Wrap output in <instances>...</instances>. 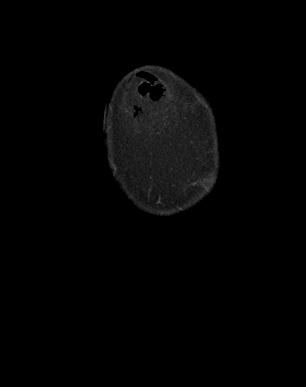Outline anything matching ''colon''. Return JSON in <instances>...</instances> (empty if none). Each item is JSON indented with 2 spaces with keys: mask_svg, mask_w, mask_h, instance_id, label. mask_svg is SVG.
<instances>
[{
  "mask_svg": "<svg viewBox=\"0 0 306 387\" xmlns=\"http://www.w3.org/2000/svg\"><path fill=\"white\" fill-rule=\"evenodd\" d=\"M143 94L152 102L158 101L163 94L160 84L155 81H149L143 84Z\"/></svg>",
  "mask_w": 306,
  "mask_h": 387,
  "instance_id": "1",
  "label": "colon"
}]
</instances>
